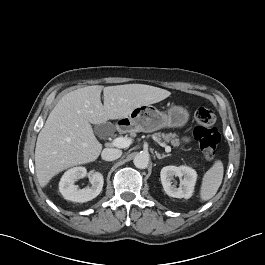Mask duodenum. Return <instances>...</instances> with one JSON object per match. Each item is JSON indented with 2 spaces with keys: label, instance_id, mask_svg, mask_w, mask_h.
Instances as JSON below:
<instances>
[{
  "label": "duodenum",
  "instance_id": "1",
  "mask_svg": "<svg viewBox=\"0 0 265 265\" xmlns=\"http://www.w3.org/2000/svg\"><path fill=\"white\" fill-rule=\"evenodd\" d=\"M116 130H117L118 132H121V131L123 130L122 125H121V124H118V125L116 126Z\"/></svg>",
  "mask_w": 265,
  "mask_h": 265
}]
</instances>
